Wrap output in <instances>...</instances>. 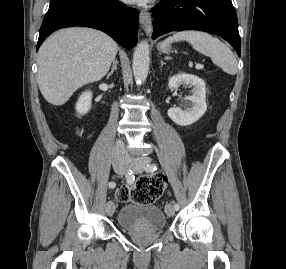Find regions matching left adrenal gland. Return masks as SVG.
<instances>
[{"instance_id": "1", "label": "left adrenal gland", "mask_w": 286, "mask_h": 269, "mask_svg": "<svg viewBox=\"0 0 286 269\" xmlns=\"http://www.w3.org/2000/svg\"><path fill=\"white\" fill-rule=\"evenodd\" d=\"M163 65H164V62H163V61H161V67H163Z\"/></svg>"}]
</instances>
